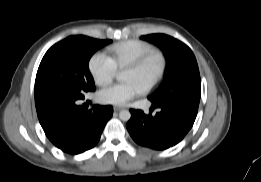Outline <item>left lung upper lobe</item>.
Masks as SVG:
<instances>
[{
  "label": "left lung upper lobe",
  "mask_w": 261,
  "mask_h": 182,
  "mask_svg": "<svg viewBox=\"0 0 261 182\" xmlns=\"http://www.w3.org/2000/svg\"><path fill=\"white\" fill-rule=\"evenodd\" d=\"M141 39L159 46L167 57V72L161 86L149 97L153 105L168 104L184 97L201 96V80L196 58L191 49L179 40L151 34Z\"/></svg>",
  "instance_id": "5c2ea615"
}]
</instances>
